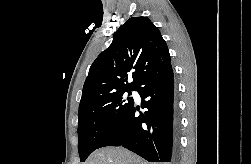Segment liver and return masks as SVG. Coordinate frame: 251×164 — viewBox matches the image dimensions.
Here are the masks:
<instances>
[{"label":"liver","instance_id":"1","mask_svg":"<svg viewBox=\"0 0 251 164\" xmlns=\"http://www.w3.org/2000/svg\"><path fill=\"white\" fill-rule=\"evenodd\" d=\"M85 164H148L121 147H104L94 151Z\"/></svg>","mask_w":251,"mask_h":164}]
</instances>
